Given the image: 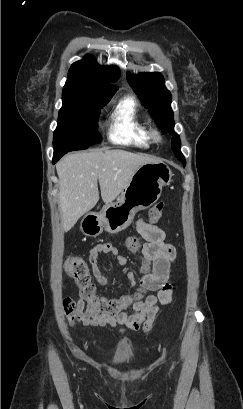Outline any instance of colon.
<instances>
[{"label":"colon","mask_w":243,"mask_h":409,"mask_svg":"<svg viewBox=\"0 0 243 409\" xmlns=\"http://www.w3.org/2000/svg\"><path fill=\"white\" fill-rule=\"evenodd\" d=\"M163 209L164 204L162 202H158L150 208L148 214L150 224L159 221ZM126 246L130 252L137 253L140 249V240L135 236H131L127 240ZM64 269L66 274L76 281L80 287L82 298L88 302L89 307L92 309L116 314L124 311L130 302H138L144 297V292L142 290H138L130 297L119 299H109L96 295V289L91 280L90 269L86 262L81 258L67 257L64 262ZM64 310L71 321L80 317L75 302L71 298H66L64 300Z\"/></svg>","instance_id":"colon-1"}]
</instances>
